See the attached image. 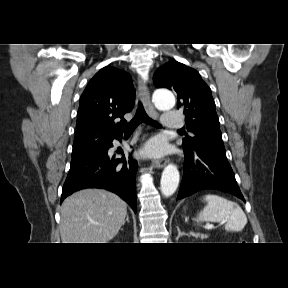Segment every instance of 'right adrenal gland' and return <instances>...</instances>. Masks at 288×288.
Returning <instances> with one entry per match:
<instances>
[{"label": "right adrenal gland", "mask_w": 288, "mask_h": 288, "mask_svg": "<svg viewBox=\"0 0 288 288\" xmlns=\"http://www.w3.org/2000/svg\"><path fill=\"white\" fill-rule=\"evenodd\" d=\"M126 221L129 222V217H128V215H127Z\"/></svg>", "instance_id": "1"}]
</instances>
